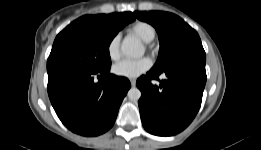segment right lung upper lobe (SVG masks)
<instances>
[{"mask_svg":"<svg viewBox=\"0 0 261 150\" xmlns=\"http://www.w3.org/2000/svg\"><path fill=\"white\" fill-rule=\"evenodd\" d=\"M99 16H105V17H123L126 19H129L132 21L135 20V17L133 15V13L131 12H124V13H113V14H109V15H99Z\"/></svg>","mask_w":261,"mask_h":150,"instance_id":"right-lung-upper-lobe-1","label":"right lung upper lobe"}]
</instances>
